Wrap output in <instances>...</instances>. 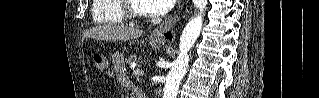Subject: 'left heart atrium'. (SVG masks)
<instances>
[{
  "instance_id": "obj_1",
  "label": "left heart atrium",
  "mask_w": 319,
  "mask_h": 98,
  "mask_svg": "<svg viewBox=\"0 0 319 98\" xmlns=\"http://www.w3.org/2000/svg\"><path fill=\"white\" fill-rule=\"evenodd\" d=\"M144 10L154 15L166 14L173 7L174 0H141Z\"/></svg>"
}]
</instances>
